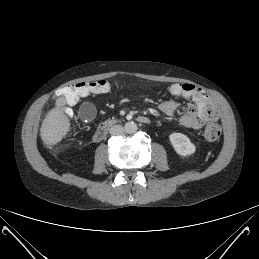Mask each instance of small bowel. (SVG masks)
Segmentation results:
<instances>
[{"label": "small bowel", "instance_id": "1", "mask_svg": "<svg viewBox=\"0 0 259 259\" xmlns=\"http://www.w3.org/2000/svg\"><path fill=\"white\" fill-rule=\"evenodd\" d=\"M196 89L201 90L197 87ZM191 100L194 101V104H190L179 119L182 126L197 130L201 129L207 121H216L218 119L217 112L209 106V99L203 101L195 95ZM179 105L176 100H166L159 105V110L166 115H173L178 110Z\"/></svg>", "mask_w": 259, "mask_h": 259}]
</instances>
